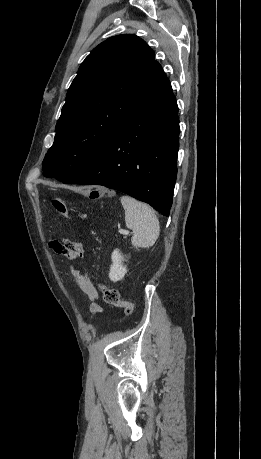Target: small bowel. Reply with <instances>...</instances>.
<instances>
[{
    "label": "small bowel",
    "instance_id": "small-bowel-1",
    "mask_svg": "<svg viewBox=\"0 0 261 459\" xmlns=\"http://www.w3.org/2000/svg\"><path fill=\"white\" fill-rule=\"evenodd\" d=\"M51 247L59 254L65 255L69 259H78L83 256V250L79 243L72 240H64L51 242ZM71 273L77 282L80 289L91 299L97 298V291L94 288L87 274H81L78 270L72 269ZM91 312L96 314L101 312V307L93 303L90 308Z\"/></svg>",
    "mask_w": 261,
    "mask_h": 459
}]
</instances>
